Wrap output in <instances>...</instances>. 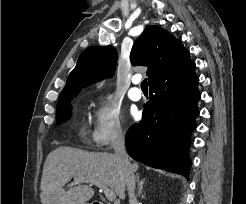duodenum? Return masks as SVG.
Listing matches in <instances>:
<instances>
[{
    "instance_id": "duodenum-1",
    "label": "duodenum",
    "mask_w": 246,
    "mask_h": 204,
    "mask_svg": "<svg viewBox=\"0 0 246 204\" xmlns=\"http://www.w3.org/2000/svg\"><path fill=\"white\" fill-rule=\"evenodd\" d=\"M91 204H104V203H102V202H93Z\"/></svg>"
}]
</instances>
